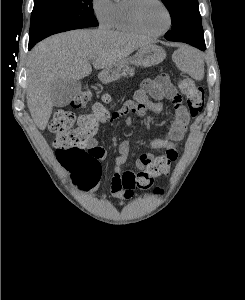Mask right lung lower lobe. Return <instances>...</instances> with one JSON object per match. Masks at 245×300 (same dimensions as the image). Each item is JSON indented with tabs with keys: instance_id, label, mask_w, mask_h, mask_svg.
<instances>
[{
	"instance_id": "obj_1",
	"label": "right lung lower lobe",
	"mask_w": 245,
	"mask_h": 300,
	"mask_svg": "<svg viewBox=\"0 0 245 300\" xmlns=\"http://www.w3.org/2000/svg\"><path fill=\"white\" fill-rule=\"evenodd\" d=\"M33 43H29V49H31L33 47Z\"/></svg>"
}]
</instances>
